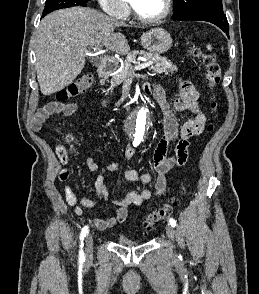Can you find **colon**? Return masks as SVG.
<instances>
[{
	"mask_svg": "<svg viewBox=\"0 0 259 294\" xmlns=\"http://www.w3.org/2000/svg\"><path fill=\"white\" fill-rule=\"evenodd\" d=\"M192 54L196 57L202 59L205 68H206V80L208 84V88L213 91L221 81V66L213 55L202 53V51L194 47L192 49ZM93 83V77L91 74L86 73L78 77L71 84H69L65 89L60 91L57 94V99L59 101H66L73 97H76L82 93H84L87 89L91 87ZM211 109L213 112H217L218 103L214 96L211 97ZM213 130V125L210 124L208 126V131ZM67 177V173L63 172L61 174V178L65 179ZM183 193V191H182ZM177 196H170L164 204L151 212L144 220V229L145 231L152 230L156 225H158L161 221H163L166 216L173 210V206L176 205Z\"/></svg>",
	"mask_w": 259,
	"mask_h": 294,
	"instance_id": "colon-1",
	"label": "colon"
}]
</instances>
